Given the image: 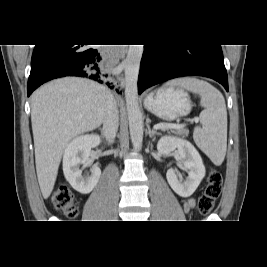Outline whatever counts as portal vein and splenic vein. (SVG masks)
I'll list each match as a JSON object with an SVG mask.
<instances>
[{"label": "portal vein and splenic vein", "instance_id": "portal-vein-and-splenic-vein-1", "mask_svg": "<svg viewBox=\"0 0 267 267\" xmlns=\"http://www.w3.org/2000/svg\"><path fill=\"white\" fill-rule=\"evenodd\" d=\"M194 121L197 123L199 120L195 118ZM185 124H157L154 126V129H179L183 128Z\"/></svg>", "mask_w": 267, "mask_h": 267}]
</instances>
